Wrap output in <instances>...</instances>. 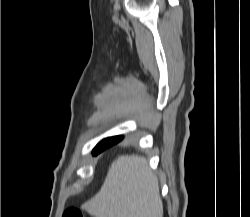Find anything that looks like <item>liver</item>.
Wrapping results in <instances>:
<instances>
[{
    "instance_id": "6515ba94",
    "label": "liver",
    "mask_w": 250,
    "mask_h": 217,
    "mask_svg": "<svg viewBox=\"0 0 250 217\" xmlns=\"http://www.w3.org/2000/svg\"><path fill=\"white\" fill-rule=\"evenodd\" d=\"M83 209L95 217H163L158 179L144 157L121 155Z\"/></svg>"
}]
</instances>
